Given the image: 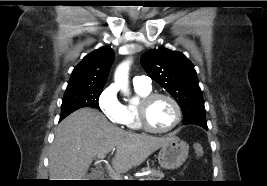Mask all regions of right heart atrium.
I'll return each mask as SVG.
<instances>
[{
    "instance_id": "right-heart-atrium-1",
    "label": "right heart atrium",
    "mask_w": 267,
    "mask_h": 186,
    "mask_svg": "<svg viewBox=\"0 0 267 186\" xmlns=\"http://www.w3.org/2000/svg\"><path fill=\"white\" fill-rule=\"evenodd\" d=\"M98 106L111 122L120 123L122 104L119 102L114 87H106L98 97Z\"/></svg>"
}]
</instances>
